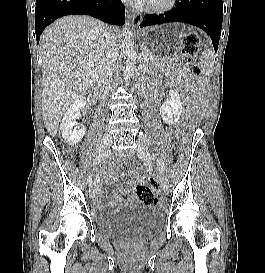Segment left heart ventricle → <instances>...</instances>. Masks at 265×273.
I'll list each match as a JSON object with an SVG mask.
<instances>
[{"mask_svg": "<svg viewBox=\"0 0 265 273\" xmlns=\"http://www.w3.org/2000/svg\"><path fill=\"white\" fill-rule=\"evenodd\" d=\"M164 1L165 0H150L149 2H152V3H162Z\"/></svg>", "mask_w": 265, "mask_h": 273, "instance_id": "left-heart-ventricle-1", "label": "left heart ventricle"}]
</instances>
